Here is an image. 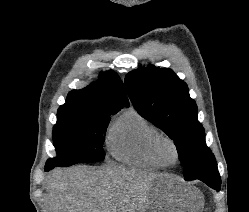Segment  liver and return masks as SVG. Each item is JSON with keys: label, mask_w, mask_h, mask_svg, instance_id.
Returning a JSON list of instances; mask_svg holds the SVG:
<instances>
[{"label": "liver", "mask_w": 249, "mask_h": 212, "mask_svg": "<svg viewBox=\"0 0 249 212\" xmlns=\"http://www.w3.org/2000/svg\"><path fill=\"white\" fill-rule=\"evenodd\" d=\"M168 174L131 168L71 166L49 172L47 212H146L150 188Z\"/></svg>", "instance_id": "6515ba94"}]
</instances>
